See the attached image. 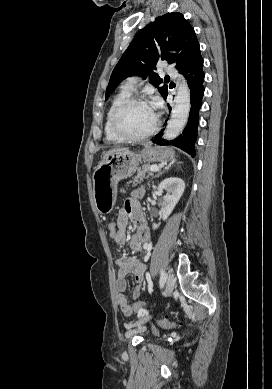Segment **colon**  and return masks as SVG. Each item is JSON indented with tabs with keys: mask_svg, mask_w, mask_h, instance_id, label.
Listing matches in <instances>:
<instances>
[{
	"mask_svg": "<svg viewBox=\"0 0 272 389\" xmlns=\"http://www.w3.org/2000/svg\"><path fill=\"white\" fill-rule=\"evenodd\" d=\"M118 231H119V228H118L117 222H110L108 224V232L112 238L118 233ZM132 307H133V310L135 312L140 313V314H145L149 311L148 305L145 304L144 302H140V301L133 303ZM157 324L160 327L165 328V329H172V328L176 327V324L174 322L169 321L168 319H165V318L157 319Z\"/></svg>",
	"mask_w": 272,
	"mask_h": 389,
	"instance_id": "1",
	"label": "colon"
}]
</instances>
